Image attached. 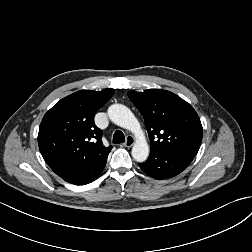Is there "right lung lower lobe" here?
<instances>
[{"label":"right lung lower lobe","instance_id":"right-lung-lower-lobe-1","mask_svg":"<svg viewBox=\"0 0 252 252\" xmlns=\"http://www.w3.org/2000/svg\"><path fill=\"white\" fill-rule=\"evenodd\" d=\"M105 165L106 161L89 164L60 175V177L75 185H85L93 182L101 174Z\"/></svg>","mask_w":252,"mask_h":252}]
</instances>
